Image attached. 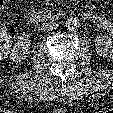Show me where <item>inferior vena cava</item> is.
I'll use <instances>...</instances> for the list:
<instances>
[{"instance_id":"inferior-vena-cava-1","label":"inferior vena cava","mask_w":113,"mask_h":113,"mask_svg":"<svg viewBox=\"0 0 113 113\" xmlns=\"http://www.w3.org/2000/svg\"><path fill=\"white\" fill-rule=\"evenodd\" d=\"M57 27H58V23L53 20L46 21L42 24V30L45 32L55 30V29H57Z\"/></svg>"}]
</instances>
